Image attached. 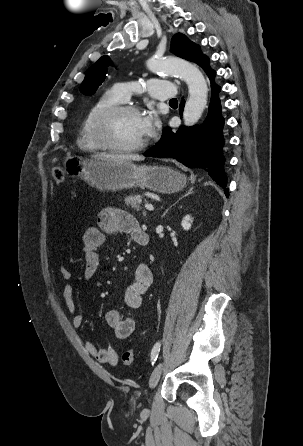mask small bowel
<instances>
[{
    "label": "small bowel",
    "mask_w": 303,
    "mask_h": 446,
    "mask_svg": "<svg viewBox=\"0 0 303 446\" xmlns=\"http://www.w3.org/2000/svg\"><path fill=\"white\" fill-rule=\"evenodd\" d=\"M143 230L137 220L128 212L118 208H105L97 217V225L88 227L83 235L70 239L71 243H81L84 253V278L92 279L100 268L99 248L104 244L107 235L116 233L128 234L135 242L136 237ZM61 278L68 281L63 289V297L68 311L73 315L72 323L75 328L83 324V316L77 313L74 302V287L69 282L70 271L61 266L59 268ZM153 282V275L150 268L141 263L137 266L134 277L130 285L124 292V303L129 310L139 309L143 295ZM106 324L113 329L115 336L119 340L127 339L135 329V320L132 316H124L119 310L113 309L105 313ZM86 351L98 362L112 366L117 365L118 355L113 348H98L93 342L85 344Z\"/></svg>",
    "instance_id": "obj_1"
}]
</instances>
